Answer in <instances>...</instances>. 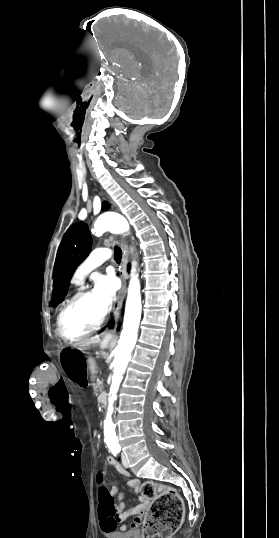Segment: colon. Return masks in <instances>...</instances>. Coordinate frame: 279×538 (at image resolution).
<instances>
[{
	"label": "colon",
	"mask_w": 279,
	"mask_h": 538,
	"mask_svg": "<svg viewBox=\"0 0 279 538\" xmlns=\"http://www.w3.org/2000/svg\"><path fill=\"white\" fill-rule=\"evenodd\" d=\"M99 516L101 518L113 517L116 514L114 500L105 486L104 477L98 473ZM141 494L145 499L151 500V505L143 527V538H170L180 527L184 504L174 488L163 486L155 482H145L141 487Z\"/></svg>",
	"instance_id": "1"
}]
</instances>
